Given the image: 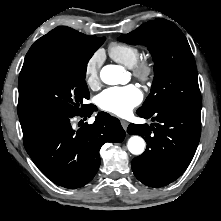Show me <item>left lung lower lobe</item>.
<instances>
[{"instance_id": "obj_1", "label": "left lung lower lobe", "mask_w": 221, "mask_h": 221, "mask_svg": "<svg viewBox=\"0 0 221 221\" xmlns=\"http://www.w3.org/2000/svg\"><path fill=\"white\" fill-rule=\"evenodd\" d=\"M136 113L158 123L129 125V134H139L147 142L145 152L132 160V170L147 186H165L183 174L194 156L200 140L201 109L160 103Z\"/></svg>"}]
</instances>
